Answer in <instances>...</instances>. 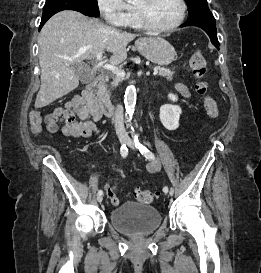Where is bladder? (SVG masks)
Listing matches in <instances>:
<instances>
[{
    "label": "bladder",
    "instance_id": "1",
    "mask_svg": "<svg viewBox=\"0 0 261 273\" xmlns=\"http://www.w3.org/2000/svg\"><path fill=\"white\" fill-rule=\"evenodd\" d=\"M109 221L118 231L139 235L155 231L162 218L154 206L127 201L110 212Z\"/></svg>",
    "mask_w": 261,
    "mask_h": 273
}]
</instances>
